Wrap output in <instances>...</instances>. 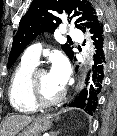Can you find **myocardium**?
<instances>
[{"instance_id": "myocardium-1", "label": "myocardium", "mask_w": 117, "mask_h": 136, "mask_svg": "<svg viewBox=\"0 0 117 136\" xmlns=\"http://www.w3.org/2000/svg\"><path fill=\"white\" fill-rule=\"evenodd\" d=\"M45 72H47L45 68H41V67L36 68L32 72L30 81H29L30 97L33 103L37 107H50V106L56 105L64 99L65 94H66V90L62 89L61 93L56 98L51 99V100L43 99L40 93L39 85H38V78L42 73H45Z\"/></svg>"}]
</instances>
